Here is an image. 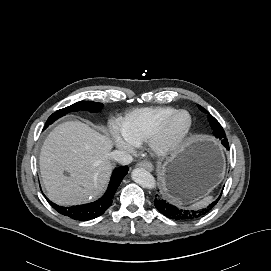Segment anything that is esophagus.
<instances>
[{
    "label": "esophagus",
    "instance_id": "1",
    "mask_svg": "<svg viewBox=\"0 0 271 271\" xmlns=\"http://www.w3.org/2000/svg\"><path fill=\"white\" fill-rule=\"evenodd\" d=\"M137 167L144 168V169L149 170V171L153 170L152 163H150L148 161H141V162L137 163Z\"/></svg>",
    "mask_w": 271,
    "mask_h": 271
}]
</instances>
